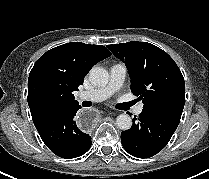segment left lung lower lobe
I'll return each instance as SVG.
<instances>
[{"mask_svg":"<svg viewBox=\"0 0 209 179\" xmlns=\"http://www.w3.org/2000/svg\"><path fill=\"white\" fill-rule=\"evenodd\" d=\"M181 112L142 110L133 125L121 133L123 148L138 158H149L169 142L181 119Z\"/></svg>","mask_w":209,"mask_h":179,"instance_id":"left-lung-lower-lobe-1","label":"left lung lower lobe"}]
</instances>
